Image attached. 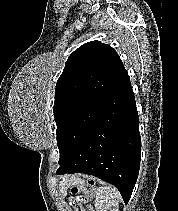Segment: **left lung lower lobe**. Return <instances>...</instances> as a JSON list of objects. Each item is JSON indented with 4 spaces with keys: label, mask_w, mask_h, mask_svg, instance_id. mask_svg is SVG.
I'll use <instances>...</instances> for the list:
<instances>
[{
    "label": "left lung lower lobe",
    "mask_w": 178,
    "mask_h": 211,
    "mask_svg": "<svg viewBox=\"0 0 178 211\" xmlns=\"http://www.w3.org/2000/svg\"><path fill=\"white\" fill-rule=\"evenodd\" d=\"M136 102L126 71L103 113L56 174L85 173L113 184L127 203L140 168Z\"/></svg>",
    "instance_id": "1"
}]
</instances>
